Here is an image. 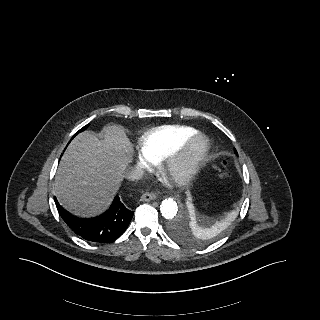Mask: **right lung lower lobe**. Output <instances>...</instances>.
<instances>
[{"label": "right lung lower lobe", "mask_w": 320, "mask_h": 320, "mask_svg": "<svg viewBox=\"0 0 320 320\" xmlns=\"http://www.w3.org/2000/svg\"><path fill=\"white\" fill-rule=\"evenodd\" d=\"M54 199L64 222L75 234L90 242L106 243L117 239L124 233L134 215V212L127 209L118 196L115 197L107 212L91 219L73 216L60 206L55 197Z\"/></svg>", "instance_id": "98d812e1"}]
</instances>
